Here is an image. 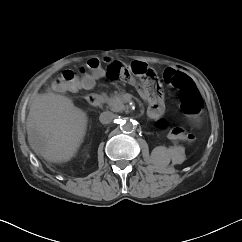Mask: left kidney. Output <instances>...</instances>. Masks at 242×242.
Segmentation results:
<instances>
[{"label": "left kidney", "mask_w": 242, "mask_h": 242, "mask_svg": "<svg viewBox=\"0 0 242 242\" xmlns=\"http://www.w3.org/2000/svg\"><path fill=\"white\" fill-rule=\"evenodd\" d=\"M170 149H167L164 146H158L155 147L151 153V157L153 159V162L159 166H166L170 163ZM176 158H174L175 163H181L184 161V149L180 148L179 150H176ZM177 155H181L180 158H177Z\"/></svg>", "instance_id": "1"}]
</instances>
